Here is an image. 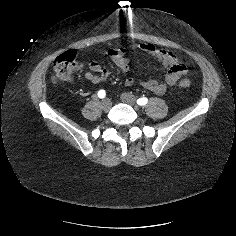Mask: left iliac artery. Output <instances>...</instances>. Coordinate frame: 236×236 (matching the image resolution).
Returning <instances> with one entry per match:
<instances>
[{
    "label": "left iliac artery",
    "mask_w": 236,
    "mask_h": 236,
    "mask_svg": "<svg viewBox=\"0 0 236 236\" xmlns=\"http://www.w3.org/2000/svg\"><path fill=\"white\" fill-rule=\"evenodd\" d=\"M148 102V99L146 97H141L137 100V104L140 106L146 105Z\"/></svg>",
    "instance_id": "obj_1"
}]
</instances>
